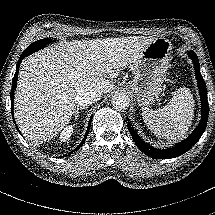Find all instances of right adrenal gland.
Wrapping results in <instances>:
<instances>
[{
  "instance_id": "obj_1",
  "label": "right adrenal gland",
  "mask_w": 215,
  "mask_h": 215,
  "mask_svg": "<svg viewBox=\"0 0 215 215\" xmlns=\"http://www.w3.org/2000/svg\"><path fill=\"white\" fill-rule=\"evenodd\" d=\"M82 109H77L76 112H75V120H78L79 116H80V113H81Z\"/></svg>"
}]
</instances>
